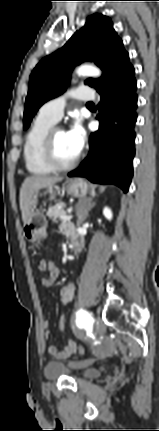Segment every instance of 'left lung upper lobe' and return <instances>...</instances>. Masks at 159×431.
Here are the masks:
<instances>
[{
	"label": "left lung upper lobe",
	"mask_w": 159,
	"mask_h": 431,
	"mask_svg": "<svg viewBox=\"0 0 159 431\" xmlns=\"http://www.w3.org/2000/svg\"><path fill=\"white\" fill-rule=\"evenodd\" d=\"M86 60L94 61L103 71L99 79H87L85 84L98 92L130 64L122 40L112 27L111 20L101 14L87 19L59 50L45 57L30 76L25 101L24 129H27L38 109L48 100L62 94L70 81V72Z\"/></svg>",
	"instance_id": "left-lung-upper-lobe-1"
}]
</instances>
